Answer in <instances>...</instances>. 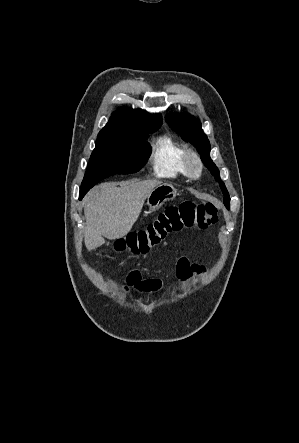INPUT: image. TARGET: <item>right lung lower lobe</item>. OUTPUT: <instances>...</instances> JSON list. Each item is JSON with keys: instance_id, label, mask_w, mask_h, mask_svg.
<instances>
[{"instance_id": "1", "label": "right lung lower lobe", "mask_w": 299, "mask_h": 443, "mask_svg": "<svg viewBox=\"0 0 299 443\" xmlns=\"http://www.w3.org/2000/svg\"><path fill=\"white\" fill-rule=\"evenodd\" d=\"M83 198V196H80V199H82Z\"/></svg>"}]
</instances>
